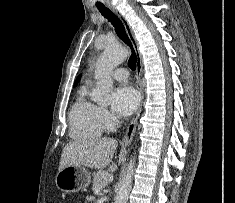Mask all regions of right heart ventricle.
Listing matches in <instances>:
<instances>
[{
  "label": "right heart ventricle",
  "instance_id": "e07e8e85",
  "mask_svg": "<svg viewBox=\"0 0 235 203\" xmlns=\"http://www.w3.org/2000/svg\"><path fill=\"white\" fill-rule=\"evenodd\" d=\"M70 135L76 139L97 138L104 132L98 117V106L87 98L86 89L79 91L70 114Z\"/></svg>",
  "mask_w": 235,
  "mask_h": 203
}]
</instances>
